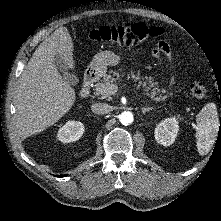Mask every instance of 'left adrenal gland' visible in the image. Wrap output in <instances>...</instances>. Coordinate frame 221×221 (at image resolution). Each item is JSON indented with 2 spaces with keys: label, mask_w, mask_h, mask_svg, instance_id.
I'll return each mask as SVG.
<instances>
[{
  "label": "left adrenal gland",
  "mask_w": 221,
  "mask_h": 221,
  "mask_svg": "<svg viewBox=\"0 0 221 221\" xmlns=\"http://www.w3.org/2000/svg\"><path fill=\"white\" fill-rule=\"evenodd\" d=\"M152 107L142 108V113L145 114L146 112L152 110Z\"/></svg>",
  "instance_id": "obj_1"
}]
</instances>
